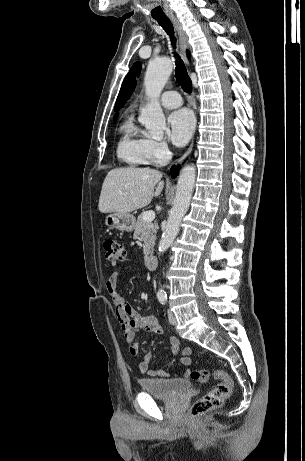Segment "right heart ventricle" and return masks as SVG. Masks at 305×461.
Wrapping results in <instances>:
<instances>
[{
	"label": "right heart ventricle",
	"instance_id": "obj_1",
	"mask_svg": "<svg viewBox=\"0 0 305 461\" xmlns=\"http://www.w3.org/2000/svg\"><path fill=\"white\" fill-rule=\"evenodd\" d=\"M150 141L134 124L131 117L121 126V137L117 146L118 157L131 166L146 165L153 162Z\"/></svg>",
	"mask_w": 305,
	"mask_h": 461
}]
</instances>
